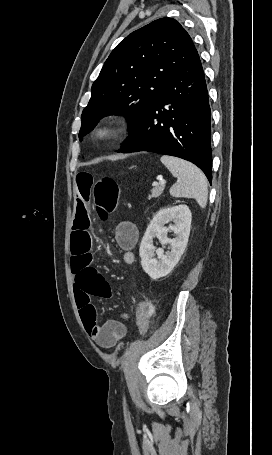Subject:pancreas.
<instances>
[{
    "label": "pancreas",
    "instance_id": "1",
    "mask_svg": "<svg viewBox=\"0 0 272 455\" xmlns=\"http://www.w3.org/2000/svg\"><path fill=\"white\" fill-rule=\"evenodd\" d=\"M164 190V186L158 184L156 185L152 190L151 194L149 195L148 199L150 200L151 198H158Z\"/></svg>",
    "mask_w": 272,
    "mask_h": 455
}]
</instances>
